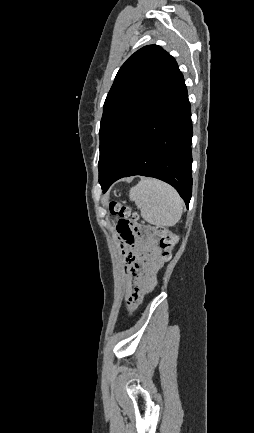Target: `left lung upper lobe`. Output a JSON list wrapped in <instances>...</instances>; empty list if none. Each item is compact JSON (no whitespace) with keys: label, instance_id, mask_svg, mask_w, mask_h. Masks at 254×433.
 <instances>
[{"label":"left lung upper lobe","instance_id":"obj_1","mask_svg":"<svg viewBox=\"0 0 254 433\" xmlns=\"http://www.w3.org/2000/svg\"><path fill=\"white\" fill-rule=\"evenodd\" d=\"M179 75L175 59L157 45L139 49L121 66L100 123V184L122 162L138 131Z\"/></svg>","mask_w":254,"mask_h":433}]
</instances>
